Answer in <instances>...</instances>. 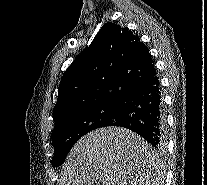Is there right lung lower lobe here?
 Listing matches in <instances>:
<instances>
[{
    "label": "right lung lower lobe",
    "mask_w": 207,
    "mask_h": 185,
    "mask_svg": "<svg viewBox=\"0 0 207 185\" xmlns=\"http://www.w3.org/2000/svg\"><path fill=\"white\" fill-rule=\"evenodd\" d=\"M106 126L132 130L156 149H163L166 120L157 75L130 90L120 103L115 121Z\"/></svg>",
    "instance_id": "right-lung-lower-lobe-1"
}]
</instances>
